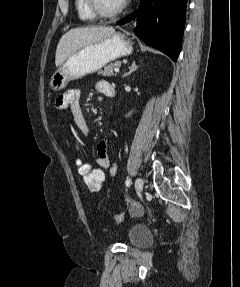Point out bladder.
Here are the masks:
<instances>
[{
	"instance_id": "bladder-1",
	"label": "bladder",
	"mask_w": 240,
	"mask_h": 287,
	"mask_svg": "<svg viewBox=\"0 0 240 287\" xmlns=\"http://www.w3.org/2000/svg\"><path fill=\"white\" fill-rule=\"evenodd\" d=\"M152 242L151 230L142 224H133L128 230V244L134 247H142Z\"/></svg>"
}]
</instances>
